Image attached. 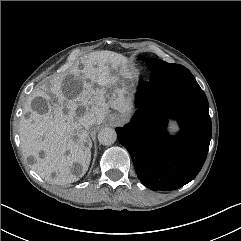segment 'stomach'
I'll use <instances>...</instances> for the list:
<instances>
[{"label": "stomach", "mask_w": 241, "mask_h": 241, "mask_svg": "<svg viewBox=\"0 0 241 241\" xmlns=\"http://www.w3.org/2000/svg\"><path fill=\"white\" fill-rule=\"evenodd\" d=\"M125 88L124 82L121 79H118V81L112 85L111 90H109L110 95L114 94L116 90Z\"/></svg>", "instance_id": "obj_1"}]
</instances>
